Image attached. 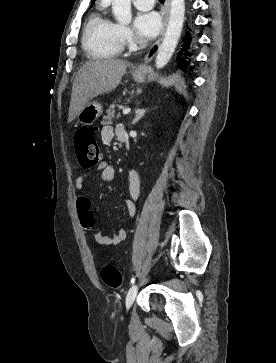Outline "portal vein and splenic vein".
I'll return each instance as SVG.
<instances>
[{"label": "portal vein and splenic vein", "instance_id": "portal-vein-and-splenic-vein-1", "mask_svg": "<svg viewBox=\"0 0 276 363\" xmlns=\"http://www.w3.org/2000/svg\"><path fill=\"white\" fill-rule=\"evenodd\" d=\"M130 111H131V109H130V108H124V109L122 110V113H123L124 115H127V114H129V113H130Z\"/></svg>", "mask_w": 276, "mask_h": 363}]
</instances>
